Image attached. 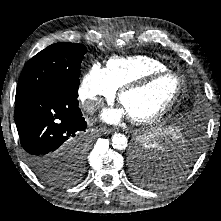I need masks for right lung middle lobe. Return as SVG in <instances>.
<instances>
[{"label": "right lung middle lobe", "instance_id": "1", "mask_svg": "<svg viewBox=\"0 0 221 221\" xmlns=\"http://www.w3.org/2000/svg\"><path fill=\"white\" fill-rule=\"evenodd\" d=\"M87 49L76 43H55L31 58L20 75L15 101L36 91L60 89L77 94L81 62ZM89 140L75 149L66 170L57 164L40 165L36 172L43 181L65 186L77 181L84 171Z\"/></svg>", "mask_w": 221, "mask_h": 221}]
</instances>
